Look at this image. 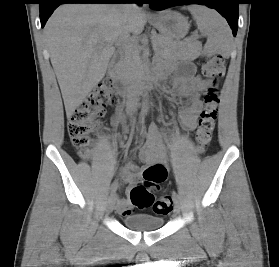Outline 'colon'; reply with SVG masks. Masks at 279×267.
Masks as SVG:
<instances>
[{
	"label": "colon",
	"instance_id": "1",
	"mask_svg": "<svg viewBox=\"0 0 279 267\" xmlns=\"http://www.w3.org/2000/svg\"><path fill=\"white\" fill-rule=\"evenodd\" d=\"M203 75L209 79L210 85L204 95V107L200 113L195 133L198 152H204L210 144L215 129L219 107L218 81L225 74V63L220 56H211L202 65ZM117 102L114 84L107 80L96 89L70 114L68 118V133L78 155L89 159L91 152L89 144L97 120L103 115L105 107ZM165 179V171L157 166H148L142 174V184L130 191L132 204L139 209L152 208L156 214L166 215L173 209V201L169 195L157 200L150 189Z\"/></svg>",
	"mask_w": 279,
	"mask_h": 267
}]
</instances>
